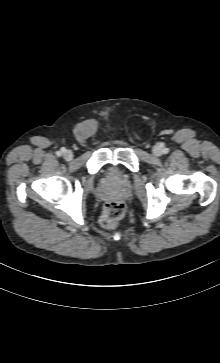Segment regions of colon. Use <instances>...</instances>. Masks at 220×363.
Listing matches in <instances>:
<instances>
[{
    "label": "colon",
    "instance_id": "5ec220e1",
    "mask_svg": "<svg viewBox=\"0 0 220 363\" xmlns=\"http://www.w3.org/2000/svg\"><path fill=\"white\" fill-rule=\"evenodd\" d=\"M126 206L121 200H113L105 204L100 223L105 228H114L122 219Z\"/></svg>",
    "mask_w": 220,
    "mask_h": 363
}]
</instances>
